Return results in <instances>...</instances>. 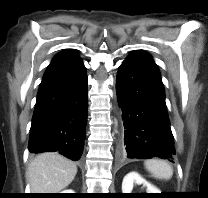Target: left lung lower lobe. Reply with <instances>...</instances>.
<instances>
[{"label":"left lung lower lobe","instance_id":"left-lung-lower-lobe-1","mask_svg":"<svg viewBox=\"0 0 208 198\" xmlns=\"http://www.w3.org/2000/svg\"><path fill=\"white\" fill-rule=\"evenodd\" d=\"M116 93L122 108V151L127 158L159 157L172 162L173 135L157 65L136 50L119 67Z\"/></svg>","mask_w":208,"mask_h":198}]
</instances>
